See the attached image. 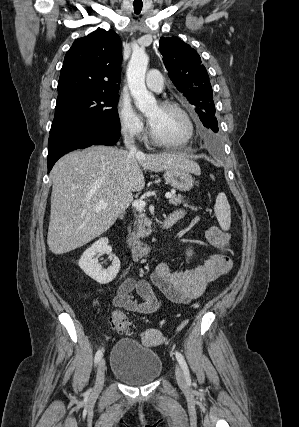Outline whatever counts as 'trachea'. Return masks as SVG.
I'll return each mask as SVG.
<instances>
[{
	"instance_id": "1",
	"label": "trachea",
	"mask_w": 299,
	"mask_h": 427,
	"mask_svg": "<svg viewBox=\"0 0 299 427\" xmlns=\"http://www.w3.org/2000/svg\"><path fill=\"white\" fill-rule=\"evenodd\" d=\"M135 14H140L143 4H133Z\"/></svg>"
}]
</instances>
